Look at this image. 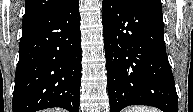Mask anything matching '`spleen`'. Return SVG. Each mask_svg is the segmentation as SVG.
<instances>
[{"mask_svg": "<svg viewBox=\"0 0 193 112\" xmlns=\"http://www.w3.org/2000/svg\"><path fill=\"white\" fill-rule=\"evenodd\" d=\"M125 112H158V110L150 107L134 106L126 109Z\"/></svg>", "mask_w": 193, "mask_h": 112, "instance_id": "1", "label": "spleen"}]
</instances>
